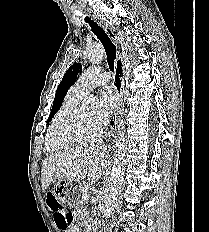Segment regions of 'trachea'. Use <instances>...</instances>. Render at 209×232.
<instances>
[{
    "label": "trachea",
    "instance_id": "1",
    "mask_svg": "<svg viewBox=\"0 0 209 232\" xmlns=\"http://www.w3.org/2000/svg\"><path fill=\"white\" fill-rule=\"evenodd\" d=\"M85 22L89 24L91 27L92 32L97 36V38L101 41L106 55H107V62L111 71H114V63L116 59V46L111 41L110 37L101 28L94 20H91L89 17H85ZM120 82V80H119Z\"/></svg>",
    "mask_w": 209,
    "mask_h": 232
}]
</instances>
